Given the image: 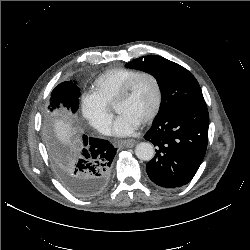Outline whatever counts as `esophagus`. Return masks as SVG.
Returning a JSON list of instances; mask_svg holds the SVG:
<instances>
[{
  "label": "esophagus",
  "mask_w": 250,
  "mask_h": 250,
  "mask_svg": "<svg viewBox=\"0 0 250 250\" xmlns=\"http://www.w3.org/2000/svg\"><path fill=\"white\" fill-rule=\"evenodd\" d=\"M118 144L126 147H133L136 144V140L133 139L123 140L120 141Z\"/></svg>",
  "instance_id": "34e87169"
}]
</instances>
